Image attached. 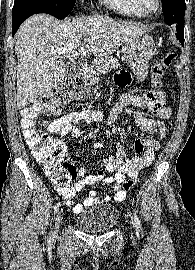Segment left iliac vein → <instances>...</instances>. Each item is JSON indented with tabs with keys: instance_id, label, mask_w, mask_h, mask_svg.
Segmentation results:
<instances>
[{
	"instance_id": "4c4485c4",
	"label": "left iliac vein",
	"mask_w": 195,
	"mask_h": 270,
	"mask_svg": "<svg viewBox=\"0 0 195 270\" xmlns=\"http://www.w3.org/2000/svg\"><path fill=\"white\" fill-rule=\"evenodd\" d=\"M132 224H133V227L135 226V224L132 222Z\"/></svg>"
}]
</instances>
